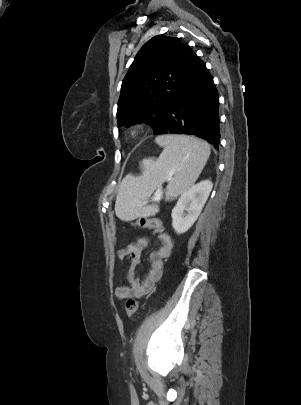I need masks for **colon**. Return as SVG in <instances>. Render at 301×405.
Instances as JSON below:
<instances>
[{
	"label": "colon",
	"instance_id": "1",
	"mask_svg": "<svg viewBox=\"0 0 301 405\" xmlns=\"http://www.w3.org/2000/svg\"><path fill=\"white\" fill-rule=\"evenodd\" d=\"M134 226H138L141 228H148V229H154V230H159L162 228V223L158 219H153V218H140L136 221L133 222ZM139 306V301L136 298H128L126 301L125 309H126V315L128 317H132L135 312L137 311Z\"/></svg>",
	"mask_w": 301,
	"mask_h": 405
}]
</instances>
